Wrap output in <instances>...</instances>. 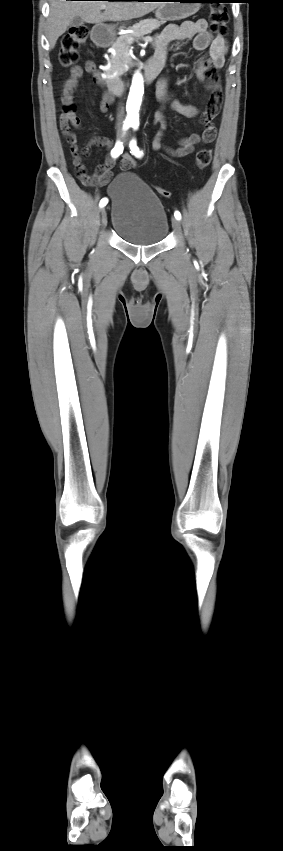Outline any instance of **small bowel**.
<instances>
[{
  "instance_id": "c3829d8e",
  "label": "small bowel",
  "mask_w": 283,
  "mask_h": 851,
  "mask_svg": "<svg viewBox=\"0 0 283 851\" xmlns=\"http://www.w3.org/2000/svg\"><path fill=\"white\" fill-rule=\"evenodd\" d=\"M188 40H192V44L195 50L202 51L208 49L209 60H199L195 67V73L198 79L206 82V87L210 92L217 90L218 86L214 80V71L216 69L221 68L224 64L225 55L227 52V43L222 36H213L207 30L206 20L199 19L196 21H184L180 25H167L156 36L155 54L153 58L159 59L163 63H165L168 55V46L170 45V43L185 42ZM84 73L91 74L102 89L107 90L110 88L111 83L109 81V77L106 74H101L99 70H97L94 62L87 61L83 66L76 65L72 67L70 71V76L66 80L62 89V101L66 106L72 105L73 91L77 87L79 79L83 76ZM157 96L162 103H169L170 107L179 114L187 118L199 117L203 123H208L216 116L222 101L221 94L219 92L215 93L210 97L209 104L206 110L200 112V110L196 106L182 104L178 100L173 99L171 97L168 91L167 77H164L160 80L157 88ZM112 103L113 96L109 92L104 93L100 102L101 111L104 113L107 112ZM69 122H72L75 126L79 125V121L76 118L74 111L67 112L63 115L61 119L62 134L66 138L67 142L70 144V152L73 157L74 166L78 170H81L87 174L86 166L82 163V157L89 155L92 146L110 147L111 140L105 136H94L90 139L86 146L80 149L77 145L76 134L72 132L69 128ZM154 122L160 123L163 126L166 125V118L162 110H158L155 113ZM206 130L202 135L198 133H193L182 138L179 141V146L176 149H169V153L175 157H184L194 151L195 145L199 143H209L213 141V139L215 138L216 131H214L213 135H208L206 133ZM162 134V131H159L156 134L152 144L154 150H160L162 148V144L160 141ZM114 165L115 159L112 156L108 155L105 159V162L102 165L98 166L97 172L94 177L90 176L91 182L88 184H92L94 181L101 185L107 184L112 176L111 170ZM136 165V161L129 154H125L122 157L120 166L123 170L133 168Z\"/></svg>"
}]
</instances>
